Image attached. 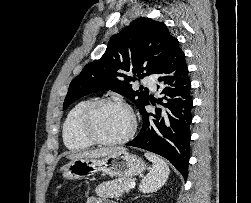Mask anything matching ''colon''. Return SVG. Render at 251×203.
I'll return each instance as SVG.
<instances>
[{
  "mask_svg": "<svg viewBox=\"0 0 251 203\" xmlns=\"http://www.w3.org/2000/svg\"><path fill=\"white\" fill-rule=\"evenodd\" d=\"M57 203H67L65 200H60Z\"/></svg>",
  "mask_w": 251,
  "mask_h": 203,
  "instance_id": "obj_1",
  "label": "colon"
}]
</instances>
